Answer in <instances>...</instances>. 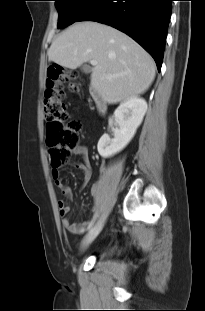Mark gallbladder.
Instances as JSON below:
<instances>
[{
  "label": "gallbladder",
  "mask_w": 205,
  "mask_h": 311,
  "mask_svg": "<svg viewBox=\"0 0 205 311\" xmlns=\"http://www.w3.org/2000/svg\"><path fill=\"white\" fill-rule=\"evenodd\" d=\"M81 70L85 73H89L91 71V68L88 65H83L81 67Z\"/></svg>",
  "instance_id": "gallbladder-1"
}]
</instances>
